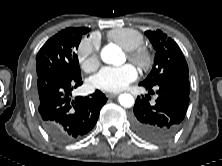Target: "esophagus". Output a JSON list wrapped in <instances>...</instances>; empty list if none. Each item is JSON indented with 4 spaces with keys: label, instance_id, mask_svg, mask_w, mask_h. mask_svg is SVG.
I'll use <instances>...</instances> for the list:
<instances>
[{
    "label": "esophagus",
    "instance_id": "obj_1",
    "mask_svg": "<svg viewBox=\"0 0 222 166\" xmlns=\"http://www.w3.org/2000/svg\"><path fill=\"white\" fill-rule=\"evenodd\" d=\"M106 96L108 98H114V97L118 96V93H107Z\"/></svg>",
    "mask_w": 222,
    "mask_h": 166
}]
</instances>
